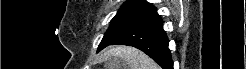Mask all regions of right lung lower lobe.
<instances>
[{
	"label": "right lung lower lobe",
	"instance_id": "1",
	"mask_svg": "<svg viewBox=\"0 0 246 69\" xmlns=\"http://www.w3.org/2000/svg\"><path fill=\"white\" fill-rule=\"evenodd\" d=\"M142 17L141 23L118 36L109 45L123 44L136 47L150 56L163 69H173L161 17L157 14L156 9Z\"/></svg>",
	"mask_w": 246,
	"mask_h": 69
}]
</instances>
